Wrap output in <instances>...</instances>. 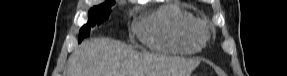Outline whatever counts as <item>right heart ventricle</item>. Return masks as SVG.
Segmentation results:
<instances>
[{"instance_id":"obj_1","label":"right heart ventricle","mask_w":287,"mask_h":76,"mask_svg":"<svg viewBox=\"0 0 287 76\" xmlns=\"http://www.w3.org/2000/svg\"><path fill=\"white\" fill-rule=\"evenodd\" d=\"M141 41L157 50L194 53L205 44L200 21L176 3L167 4L137 27Z\"/></svg>"}]
</instances>
